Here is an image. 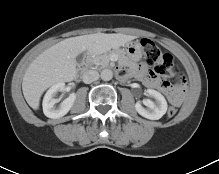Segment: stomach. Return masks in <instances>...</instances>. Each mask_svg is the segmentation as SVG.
Wrapping results in <instances>:
<instances>
[{
  "label": "stomach",
  "mask_w": 219,
  "mask_h": 174,
  "mask_svg": "<svg viewBox=\"0 0 219 174\" xmlns=\"http://www.w3.org/2000/svg\"><path fill=\"white\" fill-rule=\"evenodd\" d=\"M124 54L131 61H139L142 58L143 49L138 41L128 42L123 48Z\"/></svg>",
  "instance_id": "1"
}]
</instances>
